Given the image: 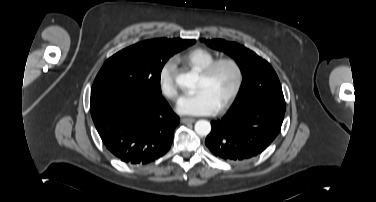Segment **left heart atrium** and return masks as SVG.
<instances>
[{
	"instance_id": "left-heart-atrium-1",
	"label": "left heart atrium",
	"mask_w": 376,
	"mask_h": 202,
	"mask_svg": "<svg viewBox=\"0 0 376 202\" xmlns=\"http://www.w3.org/2000/svg\"><path fill=\"white\" fill-rule=\"evenodd\" d=\"M219 108L220 104L208 88L183 96L177 105V111L185 115H211Z\"/></svg>"
}]
</instances>
